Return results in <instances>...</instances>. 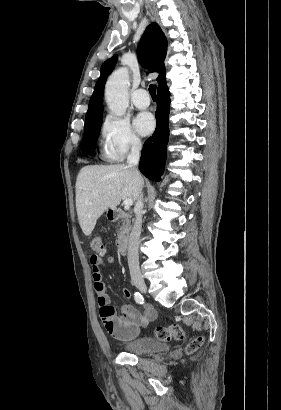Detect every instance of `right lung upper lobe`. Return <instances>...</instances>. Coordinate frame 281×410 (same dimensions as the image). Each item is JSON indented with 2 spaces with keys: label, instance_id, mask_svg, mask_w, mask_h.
<instances>
[{
  "label": "right lung upper lobe",
  "instance_id": "cb5924a9",
  "mask_svg": "<svg viewBox=\"0 0 281 410\" xmlns=\"http://www.w3.org/2000/svg\"><path fill=\"white\" fill-rule=\"evenodd\" d=\"M167 40L157 23H151L145 30L138 45L137 55L140 64L150 72H159L158 88L166 85L164 59L166 57ZM116 63V57L108 59L101 67V75L95 85L89 102L85 122L94 120L103 113V93L107 76Z\"/></svg>",
  "mask_w": 281,
  "mask_h": 410
}]
</instances>
